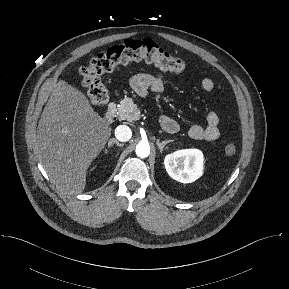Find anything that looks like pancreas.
<instances>
[{
  "mask_svg": "<svg viewBox=\"0 0 289 289\" xmlns=\"http://www.w3.org/2000/svg\"><path fill=\"white\" fill-rule=\"evenodd\" d=\"M116 115L121 120H127L129 122L136 121L140 116V109L133 102L131 98H124L121 100L119 107L117 108Z\"/></svg>",
  "mask_w": 289,
  "mask_h": 289,
  "instance_id": "cf45deb5",
  "label": "pancreas"
}]
</instances>
